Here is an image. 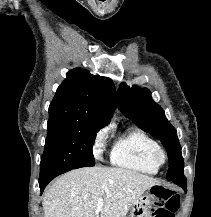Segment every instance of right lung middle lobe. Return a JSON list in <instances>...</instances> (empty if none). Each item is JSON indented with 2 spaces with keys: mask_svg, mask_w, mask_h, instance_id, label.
<instances>
[{
  "mask_svg": "<svg viewBox=\"0 0 211 217\" xmlns=\"http://www.w3.org/2000/svg\"><path fill=\"white\" fill-rule=\"evenodd\" d=\"M102 127L104 125L91 122L48 121L40 176L57 170L94 166L92 144Z\"/></svg>",
  "mask_w": 211,
  "mask_h": 217,
  "instance_id": "1",
  "label": "right lung middle lobe"
}]
</instances>
